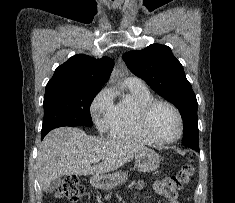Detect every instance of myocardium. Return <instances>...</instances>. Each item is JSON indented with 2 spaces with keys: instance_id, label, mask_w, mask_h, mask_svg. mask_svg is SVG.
Masks as SVG:
<instances>
[{
  "instance_id": "obj_1",
  "label": "myocardium",
  "mask_w": 235,
  "mask_h": 203,
  "mask_svg": "<svg viewBox=\"0 0 235 203\" xmlns=\"http://www.w3.org/2000/svg\"><path fill=\"white\" fill-rule=\"evenodd\" d=\"M158 105H166L168 106L176 115L178 123H179V132L176 137L171 138V139H162L157 137L152 133L149 127V120L152 111L158 106ZM138 122L139 126L142 130V132L154 143L157 144H170L178 141L184 132V121L183 117L179 111V109L171 102L167 100H162V99H152L143 105L140 106L139 112H138Z\"/></svg>"
}]
</instances>
